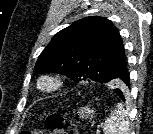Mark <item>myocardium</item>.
Returning a JSON list of instances; mask_svg holds the SVG:
<instances>
[{
	"label": "myocardium",
	"mask_w": 153,
	"mask_h": 134,
	"mask_svg": "<svg viewBox=\"0 0 153 134\" xmlns=\"http://www.w3.org/2000/svg\"><path fill=\"white\" fill-rule=\"evenodd\" d=\"M64 85V77L54 72L44 73L37 80L38 90L45 94L55 93Z\"/></svg>",
	"instance_id": "obj_1"
}]
</instances>
